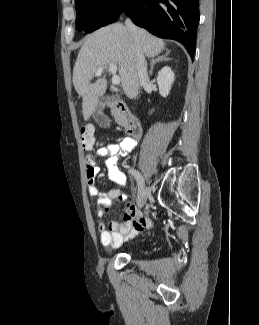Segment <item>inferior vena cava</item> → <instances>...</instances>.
Segmentation results:
<instances>
[{
  "instance_id": "602c4592",
  "label": "inferior vena cava",
  "mask_w": 259,
  "mask_h": 325,
  "mask_svg": "<svg viewBox=\"0 0 259 325\" xmlns=\"http://www.w3.org/2000/svg\"><path fill=\"white\" fill-rule=\"evenodd\" d=\"M126 27L130 30L133 35L134 42H135V56H134V63L135 68L138 75V80L140 85H144L148 82V74H147V62L144 56L143 51L141 50L138 44L137 38V27L133 24V22L128 18L125 21Z\"/></svg>"
}]
</instances>
